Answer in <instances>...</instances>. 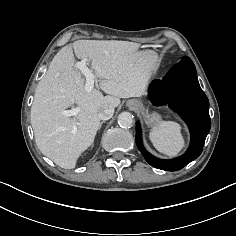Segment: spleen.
<instances>
[{
  "label": "spleen",
  "mask_w": 236,
  "mask_h": 236,
  "mask_svg": "<svg viewBox=\"0 0 236 236\" xmlns=\"http://www.w3.org/2000/svg\"><path fill=\"white\" fill-rule=\"evenodd\" d=\"M149 137L153 146L169 157L177 156L185 146L181 126L176 122H158L152 128Z\"/></svg>",
  "instance_id": "spleen-1"
}]
</instances>
